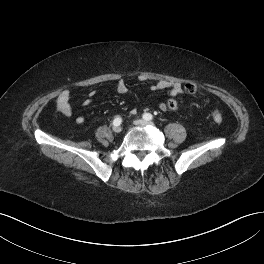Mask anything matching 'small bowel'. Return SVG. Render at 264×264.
Listing matches in <instances>:
<instances>
[{
	"label": "small bowel",
	"instance_id": "obj_1",
	"mask_svg": "<svg viewBox=\"0 0 264 264\" xmlns=\"http://www.w3.org/2000/svg\"><path fill=\"white\" fill-rule=\"evenodd\" d=\"M140 81H146L147 78L145 76H140L139 77ZM116 90L119 94H126L128 91V86L127 83L124 79H119L117 80L116 83ZM151 90L156 91V90H166L167 93L174 97V96H178L180 94L183 93V89L180 83L177 82H171L168 80H159L157 81L155 84H153L151 86ZM94 96V92H91L89 97L86 98L83 101V105L88 106L91 104V98ZM70 100H71V94L69 90H63L61 91V93L58 96L57 102H58V106L61 110V112L65 115V116H71L72 114V109H71V104H70ZM161 111H166L167 108L165 106V103H161L159 106ZM84 117L83 116H77L75 118V122L77 124H82L84 122Z\"/></svg>",
	"mask_w": 264,
	"mask_h": 264
}]
</instances>
